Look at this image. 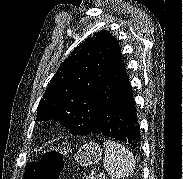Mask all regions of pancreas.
Instances as JSON below:
<instances>
[{
  "mask_svg": "<svg viewBox=\"0 0 183 179\" xmlns=\"http://www.w3.org/2000/svg\"><path fill=\"white\" fill-rule=\"evenodd\" d=\"M82 179H107L106 177L102 176V177H93V176H84Z\"/></svg>",
  "mask_w": 183,
  "mask_h": 179,
  "instance_id": "pancreas-1",
  "label": "pancreas"
}]
</instances>
